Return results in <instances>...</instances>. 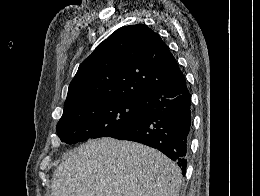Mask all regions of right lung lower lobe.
Returning a JSON list of instances; mask_svg holds the SVG:
<instances>
[{
  "instance_id": "98d812e1",
  "label": "right lung lower lobe",
  "mask_w": 260,
  "mask_h": 196,
  "mask_svg": "<svg viewBox=\"0 0 260 196\" xmlns=\"http://www.w3.org/2000/svg\"><path fill=\"white\" fill-rule=\"evenodd\" d=\"M138 108L146 117L111 137L158 149L176 161L185 175L192 126L191 96L185 76L140 98Z\"/></svg>"
}]
</instances>
